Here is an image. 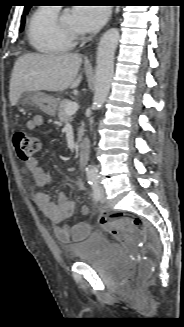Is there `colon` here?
<instances>
[{"label":"colon","mask_w":184,"mask_h":327,"mask_svg":"<svg viewBox=\"0 0 184 327\" xmlns=\"http://www.w3.org/2000/svg\"><path fill=\"white\" fill-rule=\"evenodd\" d=\"M13 145L18 157L29 161L41 149L39 139L24 130H16L13 134ZM100 224L114 236L127 244H138V252L128 280V287L139 293L151 272V263L145 256L144 246L154 241V235L139 217H131L125 213H104L99 218Z\"/></svg>","instance_id":"5ec220e1"}]
</instances>
